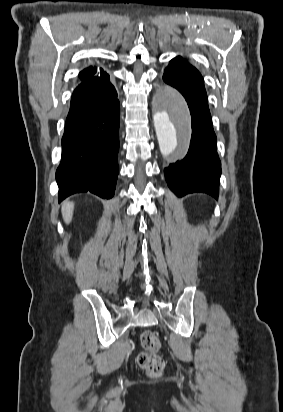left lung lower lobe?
Wrapping results in <instances>:
<instances>
[{
  "label": "left lung lower lobe",
  "mask_w": 283,
  "mask_h": 412,
  "mask_svg": "<svg viewBox=\"0 0 283 412\" xmlns=\"http://www.w3.org/2000/svg\"><path fill=\"white\" fill-rule=\"evenodd\" d=\"M163 80L185 97L191 114L192 136L186 157L164 169L169 188L182 197L206 193L218 198L221 163L202 76L164 74Z\"/></svg>",
  "instance_id": "0a47b994"
}]
</instances>
